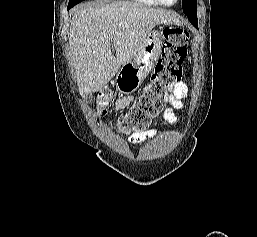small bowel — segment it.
I'll list each match as a JSON object with an SVG mask.
<instances>
[{
    "label": "small bowel",
    "instance_id": "1",
    "mask_svg": "<svg viewBox=\"0 0 257 237\" xmlns=\"http://www.w3.org/2000/svg\"><path fill=\"white\" fill-rule=\"evenodd\" d=\"M187 86L184 82L179 81L175 84L172 89V92L169 96V102L171 103L172 107L167 108L163 113V118L171 123L174 124L177 122V117L175 115V109H180L183 106L182 100L187 97ZM134 96L122 97L119 98L115 103V110H120L128 106L133 100ZM157 134V129L152 128L144 132L135 133L130 138L129 141L132 144H138L144 142L150 138H153Z\"/></svg>",
    "mask_w": 257,
    "mask_h": 237
}]
</instances>
